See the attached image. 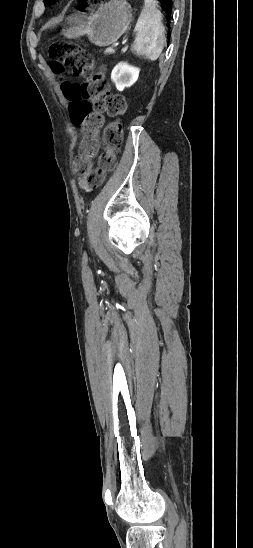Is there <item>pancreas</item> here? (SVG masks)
Returning <instances> with one entry per match:
<instances>
[{"label": "pancreas", "mask_w": 253, "mask_h": 548, "mask_svg": "<svg viewBox=\"0 0 253 548\" xmlns=\"http://www.w3.org/2000/svg\"><path fill=\"white\" fill-rule=\"evenodd\" d=\"M106 52H107V53H114L113 50H108V51H106Z\"/></svg>", "instance_id": "obj_1"}]
</instances>
